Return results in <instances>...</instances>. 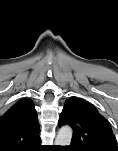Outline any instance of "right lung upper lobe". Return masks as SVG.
I'll return each mask as SVG.
<instances>
[{"label":"right lung upper lobe","mask_w":118,"mask_h":151,"mask_svg":"<svg viewBox=\"0 0 118 151\" xmlns=\"http://www.w3.org/2000/svg\"><path fill=\"white\" fill-rule=\"evenodd\" d=\"M39 132L33 102L21 99L0 117V151H34Z\"/></svg>","instance_id":"cb5924a9"}]
</instances>
